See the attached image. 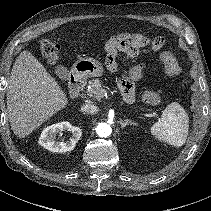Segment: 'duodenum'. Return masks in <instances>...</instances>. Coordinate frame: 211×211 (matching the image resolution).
Listing matches in <instances>:
<instances>
[{
  "instance_id": "duodenum-1",
  "label": "duodenum",
  "mask_w": 211,
  "mask_h": 211,
  "mask_svg": "<svg viewBox=\"0 0 211 211\" xmlns=\"http://www.w3.org/2000/svg\"><path fill=\"white\" fill-rule=\"evenodd\" d=\"M84 87V81L82 76L79 73H71L70 75V95L73 98L80 96Z\"/></svg>"
}]
</instances>
